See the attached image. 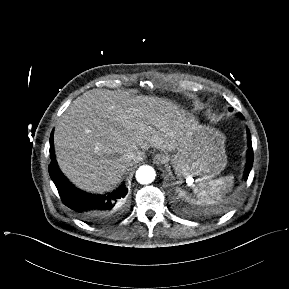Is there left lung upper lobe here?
Here are the masks:
<instances>
[{"label":"left lung upper lobe","instance_id":"1","mask_svg":"<svg viewBox=\"0 0 289 289\" xmlns=\"http://www.w3.org/2000/svg\"><path fill=\"white\" fill-rule=\"evenodd\" d=\"M229 110H232V109L230 108ZM239 115L242 117V115H241V114H239Z\"/></svg>","mask_w":289,"mask_h":289}]
</instances>
